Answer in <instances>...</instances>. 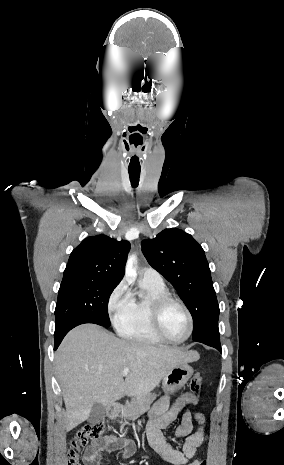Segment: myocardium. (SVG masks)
<instances>
[{
  "instance_id": "1",
  "label": "myocardium",
  "mask_w": 284,
  "mask_h": 465,
  "mask_svg": "<svg viewBox=\"0 0 284 465\" xmlns=\"http://www.w3.org/2000/svg\"><path fill=\"white\" fill-rule=\"evenodd\" d=\"M170 305H178L180 306L187 314L189 320V330L187 335L178 341L171 340L166 337L162 329V320L166 309ZM149 326L155 336L160 339L163 343L170 344V345H180L185 343L193 334L194 331V317L190 311V309L180 300L175 299L171 296H162L156 298L151 307V321H149Z\"/></svg>"
}]
</instances>
